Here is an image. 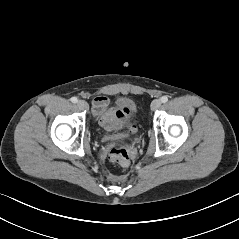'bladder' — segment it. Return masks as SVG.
<instances>
[{"mask_svg": "<svg viewBox=\"0 0 239 239\" xmlns=\"http://www.w3.org/2000/svg\"><path fill=\"white\" fill-rule=\"evenodd\" d=\"M128 104L132 110H135V106H134L133 102L128 101ZM111 137H114V136H109L108 138H111Z\"/></svg>", "mask_w": 239, "mask_h": 239, "instance_id": "31cf9c89", "label": "bladder"}]
</instances>
